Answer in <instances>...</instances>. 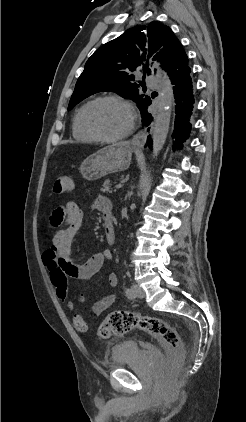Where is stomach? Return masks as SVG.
<instances>
[{
  "mask_svg": "<svg viewBox=\"0 0 246 422\" xmlns=\"http://www.w3.org/2000/svg\"><path fill=\"white\" fill-rule=\"evenodd\" d=\"M132 150L124 143L105 146L88 156L80 166L82 177L88 181L126 170L131 162Z\"/></svg>",
  "mask_w": 246,
  "mask_h": 422,
  "instance_id": "1",
  "label": "stomach"
}]
</instances>
